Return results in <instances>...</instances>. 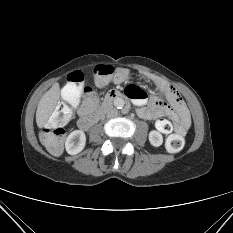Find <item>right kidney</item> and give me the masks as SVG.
Here are the masks:
<instances>
[{
    "instance_id": "1",
    "label": "right kidney",
    "mask_w": 233,
    "mask_h": 233,
    "mask_svg": "<svg viewBox=\"0 0 233 233\" xmlns=\"http://www.w3.org/2000/svg\"><path fill=\"white\" fill-rule=\"evenodd\" d=\"M85 143V133L81 130H75L68 135L65 142V148L68 154L75 155L84 149Z\"/></svg>"
}]
</instances>
